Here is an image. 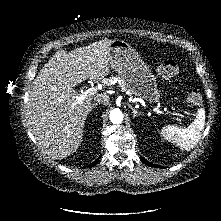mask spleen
<instances>
[{
  "mask_svg": "<svg viewBox=\"0 0 221 221\" xmlns=\"http://www.w3.org/2000/svg\"><path fill=\"white\" fill-rule=\"evenodd\" d=\"M205 124V110L200 108L197 112L196 120L188 128L178 126H164L161 130L162 135L167 141L174 142L182 149L190 150L195 147L201 138V131Z\"/></svg>",
  "mask_w": 221,
  "mask_h": 221,
  "instance_id": "spleen-1",
  "label": "spleen"
}]
</instances>
